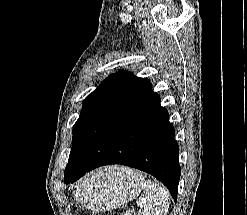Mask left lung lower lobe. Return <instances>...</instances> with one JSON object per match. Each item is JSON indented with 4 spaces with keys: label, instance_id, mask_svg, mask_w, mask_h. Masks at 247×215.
<instances>
[{
    "label": "left lung lower lobe",
    "instance_id": "obj_1",
    "mask_svg": "<svg viewBox=\"0 0 247 215\" xmlns=\"http://www.w3.org/2000/svg\"><path fill=\"white\" fill-rule=\"evenodd\" d=\"M179 146L169 114L150 82L134 102L98 139L84 140L68 161L64 182L70 184L87 172L122 164L155 176L177 200Z\"/></svg>",
    "mask_w": 247,
    "mask_h": 215
}]
</instances>
